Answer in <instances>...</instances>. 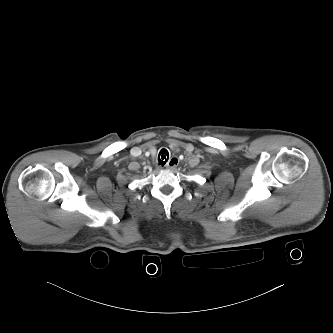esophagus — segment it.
Returning <instances> with one entry per match:
<instances>
[{"mask_svg":"<svg viewBox=\"0 0 333 333\" xmlns=\"http://www.w3.org/2000/svg\"><path fill=\"white\" fill-rule=\"evenodd\" d=\"M179 159L177 157H171L169 161L166 163L165 168L169 170H173L177 167Z\"/></svg>","mask_w":333,"mask_h":333,"instance_id":"obj_1","label":"esophagus"}]
</instances>
